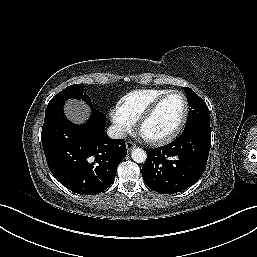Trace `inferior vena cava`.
Returning a JSON list of instances; mask_svg holds the SVG:
<instances>
[{
    "label": "inferior vena cava",
    "mask_w": 257,
    "mask_h": 257,
    "mask_svg": "<svg viewBox=\"0 0 257 257\" xmlns=\"http://www.w3.org/2000/svg\"><path fill=\"white\" fill-rule=\"evenodd\" d=\"M107 135L111 139H123L127 137V132L117 125H112L107 129Z\"/></svg>",
    "instance_id": "inferior-vena-cava-1"
}]
</instances>
